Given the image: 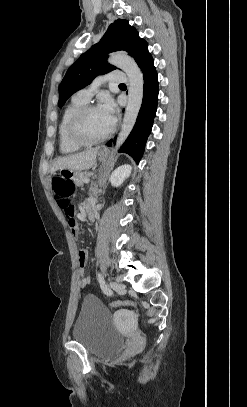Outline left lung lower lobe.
Listing matches in <instances>:
<instances>
[{"label":"left lung lower lobe","instance_id":"left-lung-lower-lobe-1","mask_svg":"<svg viewBox=\"0 0 247 407\" xmlns=\"http://www.w3.org/2000/svg\"><path fill=\"white\" fill-rule=\"evenodd\" d=\"M138 66L144 79L143 101L133 130L119 150V152L129 154L137 162L143 156L148 136L151 133L158 101V76L149 52L141 58ZM107 145L111 146L112 140Z\"/></svg>","mask_w":247,"mask_h":407}]
</instances>
